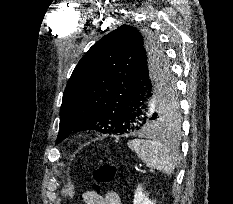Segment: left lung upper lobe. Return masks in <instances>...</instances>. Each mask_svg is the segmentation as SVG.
<instances>
[{"label": "left lung upper lobe", "mask_w": 233, "mask_h": 204, "mask_svg": "<svg viewBox=\"0 0 233 204\" xmlns=\"http://www.w3.org/2000/svg\"><path fill=\"white\" fill-rule=\"evenodd\" d=\"M142 53L150 56L161 54L167 62L154 36L130 25H122L103 36L86 52L63 94L57 142L73 132L85 130L124 134L125 131L116 125L115 118ZM154 112L158 116L156 125L160 131L179 129L181 117L174 81L159 96Z\"/></svg>", "instance_id": "5c2ea615"}]
</instances>
